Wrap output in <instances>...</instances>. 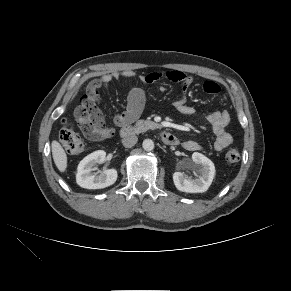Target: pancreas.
Masks as SVG:
<instances>
[{
	"mask_svg": "<svg viewBox=\"0 0 291 291\" xmlns=\"http://www.w3.org/2000/svg\"><path fill=\"white\" fill-rule=\"evenodd\" d=\"M157 126L156 123L147 120H138L134 127V133H141L147 131L150 128H155Z\"/></svg>",
	"mask_w": 291,
	"mask_h": 291,
	"instance_id": "obj_1",
	"label": "pancreas"
}]
</instances>
